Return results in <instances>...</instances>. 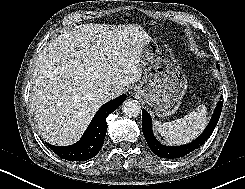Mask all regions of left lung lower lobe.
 <instances>
[{
    "instance_id": "0a47b994",
    "label": "left lung lower lobe",
    "mask_w": 245,
    "mask_h": 189,
    "mask_svg": "<svg viewBox=\"0 0 245 189\" xmlns=\"http://www.w3.org/2000/svg\"><path fill=\"white\" fill-rule=\"evenodd\" d=\"M217 68L219 69V65L217 64ZM223 98H221L222 100ZM223 101H219L217 104L214 114L210 120V123L204 130V132L193 142L182 145V146H164L160 142L157 141L152 131V122L150 115L143 109L142 110V130L146 142L152 152L162 158H179L183 157L195 149L199 148L212 134L222 111Z\"/></svg>"
}]
</instances>
